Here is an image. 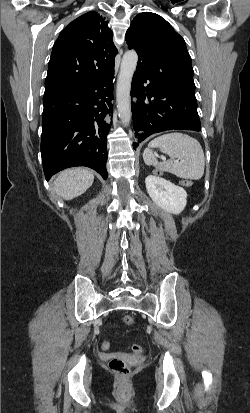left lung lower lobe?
<instances>
[{
    "label": "left lung lower lobe",
    "mask_w": 250,
    "mask_h": 413,
    "mask_svg": "<svg viewBox=\"0 0 250 413\" xmlns=\"http://www.w3.org/2000/svg\"><path fill=\"white\" fill-rule=\"evenodd\" d=\"M147 83V86L144 85ZM133 127L138 143L166 130L200 131L195 84L170 76L157 78L137 65L131 85Z\"/></svg>",
    "instance_id": "1"
}]
</instances>
